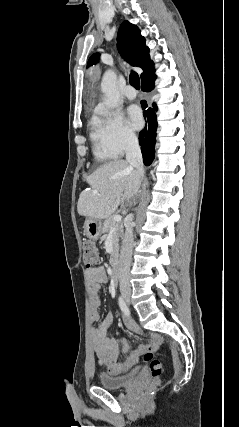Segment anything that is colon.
Here are the masks:
<instances>
[{
    "label": "colon",
    "mask_w": 239,
    "mask_h": 427,
    "mask_svg": "<svg viewBox=\"0 0 239 427\" xmlns=\"http://www.w3.org/2000/svg\"><path fill=\"white\" fill-rule=\"evenodd\" d=\"M83 255H84V263L87 267L95 266L99 261V256L97 252L96 246L92 242H86L83 245ZM144 360L150 365V372L154 379V385L157 384L158 379L162 373V367L159 362L154 357L152 352H148L144 356Z\"/></svg>",
    "instance_id": "colon-1"
}]
</instances>
